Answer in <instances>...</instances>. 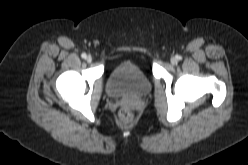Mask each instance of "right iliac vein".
I'll return each instance as SVG.
<instances>
[{"instance_id": "1", "label": "right iliac vein", "mask_w": 248, "mask_h": 165, "mask_svg": "<svg viewBox=\"0 0 248 165\" xmlns=\"http://www.w3.org/2000/svg\"><path fill=\"white\" fill-rule=\"evenodd\" d=\"M86 61L90 63V62L92 61V57H91L90 55H88V56L86 57Z\"/></svg>"}]
</instances>
